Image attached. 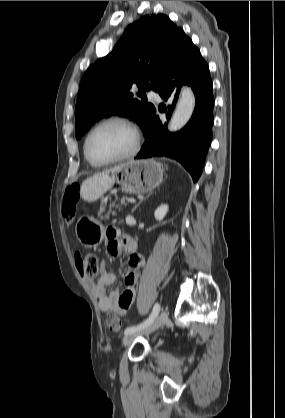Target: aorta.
Listing matches in <instances>:
<instances>
[{"mask_svg": "<svg viewBox=\"0 0 285 418\" xmlns=\"http://www.w3.org/2000/svg\"><path fill=\"white\" fill-rule=\"evenodd\" d=\"M195 108V96L192 89L184 86L181 96L168 125L170 132H176L183 128L190 120Z\"/></svg>", "mask_w": 285, "mask_h": 418, "instance_id": "762f6f07", "label": "aorta"}]
</instances>
